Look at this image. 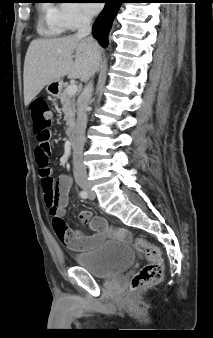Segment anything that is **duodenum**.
Segmentation results:
<instances>
[{
  "instance_id": "duodenum-1",
  "label": "duodenum",
  "mask_w": 213,
  "mask_h": 338,
  "mask_svg": "<svg viewBox=\"0 0 213 338\" xmlns=\"http://www.w3.org/2000/svg\"><path fill=\"white\" fill-rule=\"evenodd\" d=\"M74 131H75V128L72 127V128H71V134H72V135H74Z\"/></svg>"
}]
</instances>
